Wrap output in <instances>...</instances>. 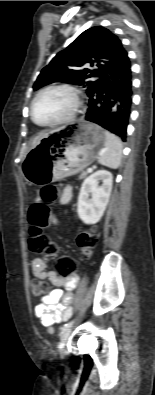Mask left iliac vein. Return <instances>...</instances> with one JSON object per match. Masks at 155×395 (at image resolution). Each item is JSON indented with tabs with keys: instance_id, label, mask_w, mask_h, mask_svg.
Returning <instances> with one entry per match:
<instances>
[{
	"instance_id": "left-iliac-vein-1",
	"label": "left iliac vein",
	"mask_w": 155,
	"mask_h": 395,
	"mask_svg": "<svg viewBox=\"0 0 155 395\" xmlns=\"http://www.w3.org/2000/svg\"><path fill=\"white\" fill-rule=\"evenodd\" d=\"M72 329L68 328L65 332L62 333L59 343V349L62 350L66 345V342L71 334Z\"/></svg>"
}]
</instances>
